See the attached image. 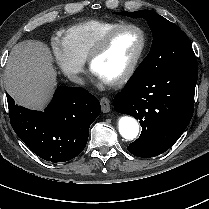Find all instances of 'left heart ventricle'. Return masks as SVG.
I'll return each mask as SVG.
<instances>
[{"mask_svg":"<svg viewBox=\"0 0 209 209\" xmlns=\"http://www.w3.org/2000/svg\"><path fill=\"white\" fill-rule=\"evenodd\" d=\"M141 44L137 30L126 29L117 32L105 51L95 60L93 72L101 79H114L125 72Z\"/></svg>","mask_w":209,"mask_h":209,"instance_id":"left-heart-ventricle-1","label":"left heart ventricle"}]
</instances>
